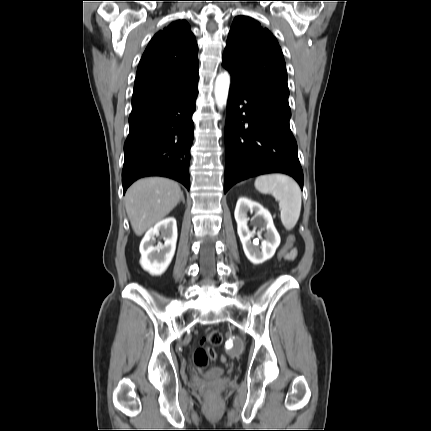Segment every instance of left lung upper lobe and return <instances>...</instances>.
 I'll return each mask as SVG.
<instances>
[{"label":"left lung upper lobe","instance_id":"obj_1","mask_svg":"<svg viewBox=\"0 0 431 431\" xmlns=\"http://www.w3.org/2000/svg\"><path fill=\"white\" fill-rule=\"evenodd\" d=\"M222 65L235 84L290 109L281 48L270 31L257 21L244 16L234 19Z\"/></svg>","mask_w":431,"mask_h":431}]
</instances>
